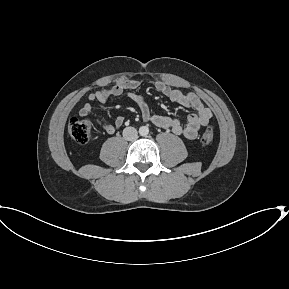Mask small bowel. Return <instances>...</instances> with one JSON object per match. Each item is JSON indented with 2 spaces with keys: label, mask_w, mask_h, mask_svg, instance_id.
<instances>
[{
  "label": "small bowel",
  "mask_w": 289,
  "mask_h": 289,
  "mask_svg": "<svg viewBox=\"0 0 289 289\" xmlns=\"http://www.w3.org/2000/svg\"><path fill=\"white\" fill-rule=\"evenodd\" d=\"M140 84L138 80L122 79L110 88H104L91 93L88 96L87 103L80 109L79 115L81 117H88L91 114L92 103L94 102L105 104L110 97L126 94L138 105L142 118L145 121L151 122L160 128L171 130L174 134L186 139L196 138L200 129L209 123L212 111L196 94L173 89L161 81L155 83V89L158 92L179 105L193 109L195 113L188 116L186 123H182L174 117L153 114L144 98L134 92ZM124 121V118L119 116L116 118L114 124L105 123L100 119H97L96 123L108 134H113L117 128L123 125Z\"/></svg>",
  "instance_id": "small-bowel-1"
}]
</instances>
